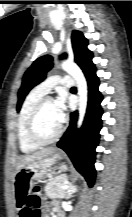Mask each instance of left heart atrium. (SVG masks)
I'll return each mask as SVG.
<instances>
[{
    "label": "left heart atrium",
    "mask_w": 132,
    "mask_h": 217,
    "mask_svg": "<svg viewBox=\"0 0 132 217\" xmlns=\"http://www.w3.org/2000/svg\"><path fill=\"white\" fill-rule=\"evenodd\" d=\"M54 107L56 111V117L61 124L66 117V101L63 95H60L54 102Z\"/></svg>",
    "instance_id": "39dd6f15"
}]
</instances>
